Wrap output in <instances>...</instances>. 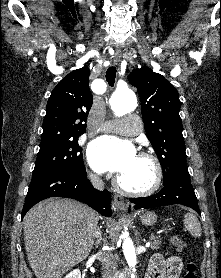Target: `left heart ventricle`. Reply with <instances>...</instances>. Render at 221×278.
Wrapping results in <instances>:
<instances>
[{
  "instance_id": "obj_1",
  "label": "left heart ventricle",
  "mask_w": 221,
  "mask_h": 278,
  "mask_svg": "<svg viewBox=\"0 0 221 278\" xmlns=\"http://www.w3.org/2000/svg\"><path fill=\"white\" fill-rule=\"evenodd\" d=\"M153 164L146 158L135 157L130 166L119 175L121 182L130 189L142 190L148 188L154 180Z\"/></svg>"
}]
</instances>
